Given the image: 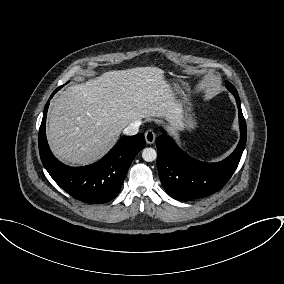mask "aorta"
<instances>
[{
	"label": "aorta",
	"mask_w": 284,
	"mask_h": 284,
	"mask_svg": "<svg viewBox=\"0 0 284 284\" xmlns=\"http://www.w3.org/2000/svg\"><path fill=\"white\" fill-rule=\"evenodd\" d=\"M142 158L146 162H152L157 158V152L153 148H145L142 151Z\"/></svg>",
	"instance_id": "aorta-1"
}]
</instances>
